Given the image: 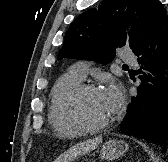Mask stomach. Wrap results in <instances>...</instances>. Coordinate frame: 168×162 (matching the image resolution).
Here are the masks:
<instances>
[{
	"label": "stomach",
	"instance_id": "0dacf381",
	"mask_svg": "<svg viewBox=\"0 0 168 162\" xmlns=\"http://www.w3.org/2000/svg\"><path fill=\"white\" fill-rule=\"evenodd\" d=\"M128 145L122 140H109L101 148L100 156L105 160H115L123 156Z\"/></svg>",
	"mask_w": 168,
	"mask_h": 162
}]
</instances>
